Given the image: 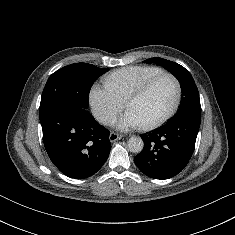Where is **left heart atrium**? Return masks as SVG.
Returning a JSON list of instances; mask_svg holds the SVG:
<instances>
[{
    "label": "left heart atrium",
    "instance_id": "left-heart-atrium-1",
    "mask_svg": "<svg viewBox=\"0 0 235 235\" xmlns=\"http://www.w3.org/2000/svg\"><path fill=\"white\" fill-rule=\"evenodd\" d=\"M114 125L120 130H130L142 126L139 119L129 110L114 121Z\"/></svg>",
    "mask_w": 235,
    "mask_h": 235
}]
</instances>
